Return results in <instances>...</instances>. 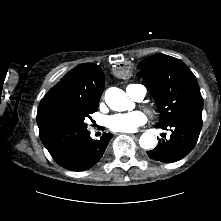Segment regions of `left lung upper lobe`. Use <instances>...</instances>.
<instances>
[{"mask_svg": "<svg viewBox=\"0 0 221 221\" xmlns=\"http://www.w3.org/2000/svg\"><path fill=\"white\" fill-rule=\"evenodd\" d=\"M139 69V76L145 79L159 105V125L190 112L202 111L203 98L197 79L181 60L159 53L143 60Z\"/></svg>", "mask_w": 221, "mask_h": 221, "instance_id": "obj_1", "label": "left lung upper lobe"}]
</instances>
